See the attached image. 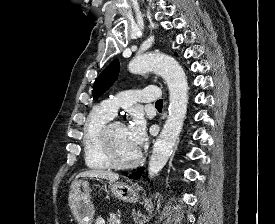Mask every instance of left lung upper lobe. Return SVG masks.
Returning <instances> with one entry per match:
<instances>
[{
	"label": "left lung upper lobe",
	"mask_w": 275,
	"mask_h": 224,
	"mask_svg": "<svg viewBox=\"0 0 275 224\" xmlns=\"http://www.w3.org/2000/svg\"><path fill=\"white\" fill-rule=\"evenodd\" d=\"M119 69V61L118 59H115L107 66V68L103 70V72L99 75V77L94 83V99H97L113 85V83L116 81L118 77Z\"/></svg>",
	"instance_id": "5c2ea615"
}]
</instances>
